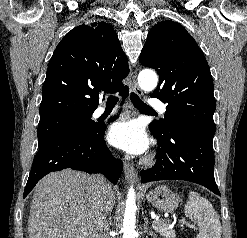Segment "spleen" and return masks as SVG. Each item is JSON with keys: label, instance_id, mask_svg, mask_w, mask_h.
Segmentation results:
<instances>
[{"label": "spleen", "instance_id": "spleen-1", "mask_svg": "<svg viewBox=\"0 0 247 238\" xmlns=\"http://www.w3.org/2000/svg\"><path fill=\"white\" fill-rule=\"evenodd\" d=\"M184 212L199 227L197 238H221L222 228L219 217L206 198L191 191Z\"/></svg>", "mask_w": 247, "mask_h": 238}]
</instances>
